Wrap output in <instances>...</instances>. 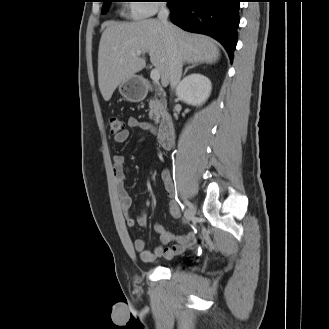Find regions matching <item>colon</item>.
<instances>
[{
  "mask_svg": "<svg viewBox=\"0 0 329 329\" xmlns=\"http://www.w3.org/2000/svg\"><path fill=\"white\" fill-rule=\"evenodd\" d=\"M109 129L112 135H117L125 130L123 121L117 116L109 118Z\"/></svg>",
  "mask_w": 329,
  "mask_h": 329,
  "instance_id": "colon-1",
  "label": "colon"
}]
</instances>
